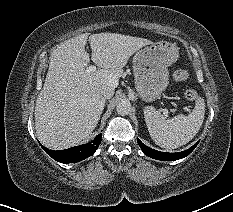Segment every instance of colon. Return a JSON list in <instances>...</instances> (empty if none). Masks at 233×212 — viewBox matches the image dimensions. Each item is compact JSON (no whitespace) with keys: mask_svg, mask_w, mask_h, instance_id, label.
<instances>
[{"mask_svg":"<svg viewBox=\"0 0 233 212\" xmlns=\"http://www.w3.org/2000/svg\"><path fill=\"white\" fill-rule=\"evenodd\" d=\"M173 78L175 81H178V82L186 81L189 78V74L185 70H177L174 72ZM184 96L189 101H195L199 97L198 93L193 89H187L184 92Z\"/></svg>","mask_w":233,"mask_h":212,"instance_id":"1","label":"colon"}]
</instances>
